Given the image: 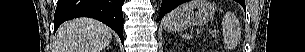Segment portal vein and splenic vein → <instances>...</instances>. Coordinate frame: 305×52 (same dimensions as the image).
I'll use <instances>...</instances> for the list:
<instances>
[{
  "label": "portal vein and splenic vein",
  "instance_id": "portal-vein-and-splenic-vein-1",
  "mask_svg": "<svg viewBox=\"0 0 305 52\" xmlns=\"http://www.w3.org/2000/svg\"><path fill=\"white\" fill-rule=\"evenodd\" d=\"M210 34H211V35H215V34H216V30H211V31H210Z\"/></svg>",
  "mask_w": 305,
  "mask_h": 52
}]
</instances>
